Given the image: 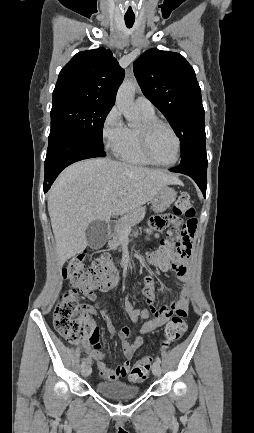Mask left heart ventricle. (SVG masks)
I'll return each instance as SVG.
<instances>
[{
  "label": "left heart ventricle",
  "instance_id": "b2bd125f",
  "mask_svg": "<svg viewBox=\"0 0 254 433\" xmlns=\"http://www.w3.org/2000/svg\"><path fill=\"white\" fill-rule=\"evenodd\" d=\"M150 148L155 159L161 163H170L175 159L176 141L166 128L159 127L153 131Z\"/></svg>",
  "mask_w": 254,
  "mask_h": 433
}]
</instances>
